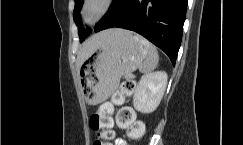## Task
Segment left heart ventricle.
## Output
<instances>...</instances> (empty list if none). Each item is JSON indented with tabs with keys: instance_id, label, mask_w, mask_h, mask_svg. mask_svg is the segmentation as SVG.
Masks as SVG:
<instances>
[{
	"instance_id": "obj_1",
	"label": "left heart ventricle",
	"mask_w": 243,
	"mask_h": 145,
	"mask_svg": "<svg viewBox=\"0 0 243 145\" xmlns=\"http://www.w3.org/2000/svg\"><path fill=\"white\" fill-rule=\"evenodd\" d=\"M100 4L99 3H94L89 6L88 11H87V16L89 18H92L99 10Z\"/></svg>"
}]
</instances>
